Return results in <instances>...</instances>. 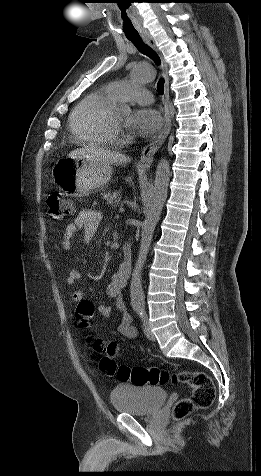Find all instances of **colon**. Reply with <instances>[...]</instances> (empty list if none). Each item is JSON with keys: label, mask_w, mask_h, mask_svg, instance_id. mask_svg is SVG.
Wrapping results in <instances>:
<instances>
[{"label": "colon", "mask_w": 261, "mask_h": 476, "mask_svg": "<svg viewBox=\"0 0 261 476\" xmlns=\"http://www.w3.org/2000/svg\"><path fill=\"white\" fill-rule=\"evenodd\" d=\"M48 215L52 220L61 221L73 212L71 203L60 193L53 192L47 198ZM81 327H88L94 315V305L88 300L78 303L75 311ZM91 349L101 356L100 367L109 375L116 374L120 380L136 385L186 384L193 389L190 398L179 400L173 407V417L184 419L193 410L209 407L215 398V386L211 378L202 371H179L170 373L158 367H117L115 357L120 352L116 343H106L97 338H88Z\"/></svg>", "instance_id": "5ec220e1"}]
</instances>
